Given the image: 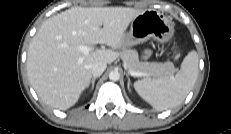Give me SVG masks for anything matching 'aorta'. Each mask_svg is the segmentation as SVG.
Returning <instances> with one entry per match:
<instances>
[{
	"label": "aorta",
	"mask_w": 231,
	"mask_h": 134,
	"mask_svg": "<svg viewBox=\"0 0 231 134\" xmlns=\"http://www.w3.org/2000/svg\"><path fill=\"white\" fill-rule=\"evenodd\" d=\"M109 79L112 81H118L120 79V73L118 71H111L109 73Z\"/></svg>",
	"instance_id": "obj_1"
}]
</instances>
